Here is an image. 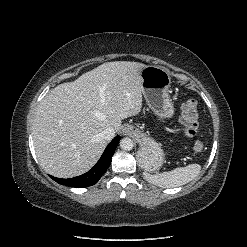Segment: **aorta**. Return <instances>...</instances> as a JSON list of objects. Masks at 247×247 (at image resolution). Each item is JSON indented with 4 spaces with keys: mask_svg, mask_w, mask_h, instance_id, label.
Wrapping results in <instances>:
<instances>
[{
    "mask_svg": "<svg viewBox=\"0 0 247 247\" xmlns=\"http://www.w3.org/2000/svg\"><path fill=\"white\" fill-rule=\"evenodd\" d=\"M134 147L133 140L131 138L125 137L120 141V148L125 151H130Z\"/></svg>",
    "mask_w": 247,
    "mask_h": 247,
    "instance_id": "1",
    "label": "aorta"
}]
</instances>
